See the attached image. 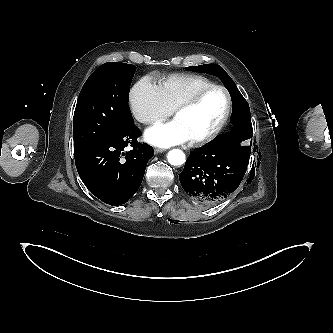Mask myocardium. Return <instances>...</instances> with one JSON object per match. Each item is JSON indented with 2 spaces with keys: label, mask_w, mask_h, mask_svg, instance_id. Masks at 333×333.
Returning a JSON list of instances; mask_svg holds the SVG:
<instances>
[{
  "label": "myocardium",
  "mask_w": 333,
  "mask_h": 333,
  "mask_svg": "<svg viewBox=\"0 0 333 333\" xmlns=\"http://www.w3.org/2000/svg\"><path fill=\"white\" fill-rule=\"evenodd\" d=\"M214 90H220L222 91L227 100L226 110L225 113L219 122V124L208 134L194 139L190 140V143L192 146L199 147L203 146L211 141H213L215 138H217L220 133L223 131L225 126L227 125L233 108V100L230 91L223 85L218 84H212L209 86H206L200 90H198L196 93H194L192 96L181 102L175 109H174V117H176L179 113L188 110L190 108L195 107L208 93Z\"/></svg>",
  "instance_id": "f54148a6"
}]
</instances>
